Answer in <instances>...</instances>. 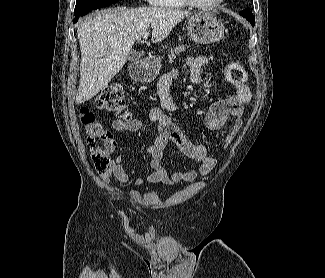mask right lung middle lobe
Segmentation results:
<instances>
[{"mask_svg": "<svg viewBox=\"0 0 325 278\" xmlns=\"http://www.w3.org/2000/svg\"><path fill=\"white\" fill-rule=\"evenodd\" d=\"M118 0H77L74 10V15L77 16L80 13L90 12L94 9L105 7Z\"/></svg>", "mask_w": 325, "mask_h": 278, "instance_id": "1", "label": "right lung middle lobe"}]
</instances>
